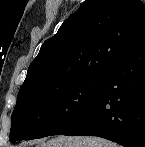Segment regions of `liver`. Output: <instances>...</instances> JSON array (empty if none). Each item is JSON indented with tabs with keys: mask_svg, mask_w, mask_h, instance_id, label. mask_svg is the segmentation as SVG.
<instances>
[{
	"mask_svg": "<svg viewBox=\"0 0 145 147\" xmlns=\"http://www.w3.org/2000/svg\"><path fill=\"white\" fill-rule=\"evenodd\" d=\"M37 147H119L117 144L99 137L89 136H63L60 135Z\"/></svg>",
	"mask_w": 145,
	"mask_h": 147,
	"instance_id": "liver-1",
	"label": "liver"
}]
</instances>
